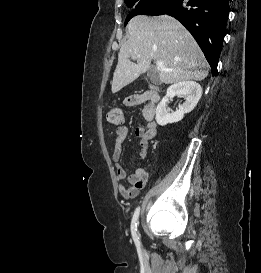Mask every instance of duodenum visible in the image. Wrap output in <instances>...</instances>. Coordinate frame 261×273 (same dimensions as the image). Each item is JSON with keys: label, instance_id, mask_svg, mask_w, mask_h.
Instances as JSON below:
<instances>
[{"label": "duodenum", "instance_id": "1", "mask_svg": "<svg viewBox=\"0 0 261 273\" xmlns=\"http://www.w3.org/2000/svg\"><path fill=\"white\" fill-rule=\"evenodd\" d=\"M160 97V90L157 86H152L150 88V99L152 103H156Z\"/></svg>", "mask_w": 261, "mask_h": 273}]
</instances>
